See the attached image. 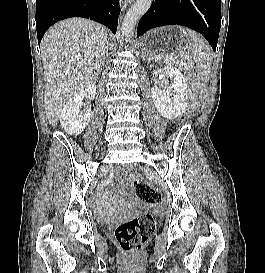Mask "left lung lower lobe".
<instances>
[{
	"label": "left lung lower lobe",
	"mask_w": 265,
	"mask_h": 273,
	"mask_svg": "<svg viewBox=\"0 0 265 273\" xmlns=\"http://www.w3.org/2000/svg\"><path fill=\"white\" fill-rule=\"evenodd\" d=\"M174 24L200 32L215 51L221 26V0H157L141 17L137 37L152 28Z\"/></svg>",
	"instance_id": "obj_1"
}]
</instances>
